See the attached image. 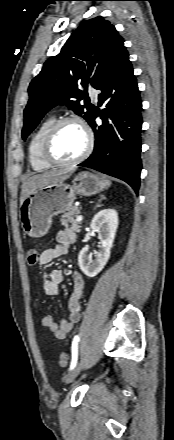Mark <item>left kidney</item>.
I'll list each match as a JSON object with an SVG mask.
<instances>
[{"label":"left kidney","instance_id":"left-kidney-1","mask_svg":"<svg viewBox=\"0 0 174 440\" xmlns=\"http://www.w3.org/2000/svg\"><path fill=\"white\" fill-rule=\"evenodd\" d=\"M118 223V213L114 209L101 210L93 217L90 227L98 233L101 246L99 251L95 252V259L91 258L87 247L80 251L78 264L86 276L95 277L108 262Z\"/></svg>","mask_w":174,"mask_h":440}]
</instances>
